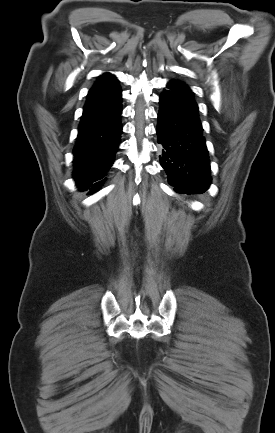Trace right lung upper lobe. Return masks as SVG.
Here are the masks:
<instances>
[{"mask_svg": "<svg viewBox=\"0 0 275 433\" xmlns=\"http://www.w3.org/2000/svg\"><path fill=\"white\" fill-rule=\"evenodd\" d=\"M116 81H117V79L114 75H112L110 73H106V74H103V75L98 77V80H97L95 85L104 84V83H112V82H116Z\"/></svg>", "mask_w": 275, "mask_h": 433, "instance_id": "1", "label": "right lung upper lobe"}]
</instances>
